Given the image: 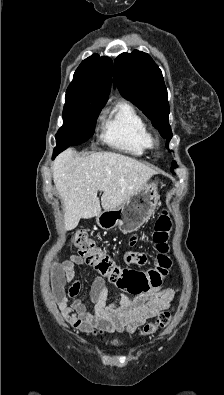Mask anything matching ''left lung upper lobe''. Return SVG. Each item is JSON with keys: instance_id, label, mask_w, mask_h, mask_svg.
<instances>
[{"instance_id": "1", "label": "left lung upper lobe", "mask_w": 224, "mask_h": 395, "mask_svg": "<svg viewBox=\"0 0 224 395\" xmlns=\"http://www.w3.org/2000/svg\"><path fill=\"white\" fill-rule=\"evenodd\" d=\"M114 78L121 95L151 119L168 147L172 137L168 95L162 72L150 55L138 50L119 55L114 62ZM172 167H176L175 161Z\"/></svg>"}]
</instances>
